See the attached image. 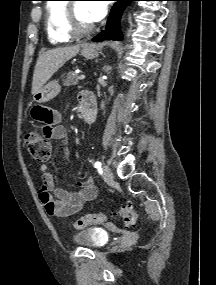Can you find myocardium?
Instances as JSON below:
<instances>
[{"instance_id":"f54148a6","label":"myocardium","mask_w":216,"mask_h":285,"mask_svg":"<svg viewBox=\"0 0 216 285\" xmlns=\"http://www.w3.org/2000/svg\"><path fill=\"white\" fill-rule=\"evenodd\" d=\"M65 26L69 35L72 37H82L91 33L94 25L83 26L79 23L75 13V3L69 2L66 6Z\"/></svg>"}]
</instances>
